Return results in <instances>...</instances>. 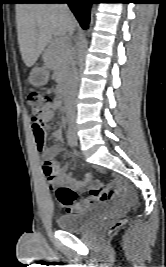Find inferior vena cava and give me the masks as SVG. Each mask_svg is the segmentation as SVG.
<instances>
[{
    "instance_id": "obj_1",
    "label": "inferior vena cava",
    "mask_w": 166,
    "mask_h": 267,
    "mask_svg": "<svg viewBox=\"0 0 166 267\" xmlns=\"http://www.w3.org/2000/svg\"><path fill=\"white\" fill-rule=\"evenodd\" d=\"M62 9H64L67 13H70L69 7L66 3L61 4ZM73 34V30L71 29L69 32V35ZM76 52L75 48L72 47L69 53V64H70V80H69V85H70V100L73 101L75 98V93L77 90V85H78V71L76 68Z\"/></svg>"
}]
</instances>
